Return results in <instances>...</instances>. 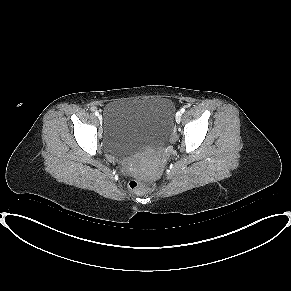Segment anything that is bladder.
I'll return each instance as SVG.
<instances>
[{"mask_svg": "<svg viewBox=\"0 0 291 291\" xmlns=\"http://www.w3.org/2000/svg\"><path fill=\"white\" fill-rule=\"evenodd\" d=\"M173 117L174 104L165 97L110 102L101 119L104 148L123 156L157 145L168 138Z\"/></svg>", "mask_w": 291, "mask_h": 291, "instance_id": "31cf9c89", "label": "bladder"}]
</instances>
